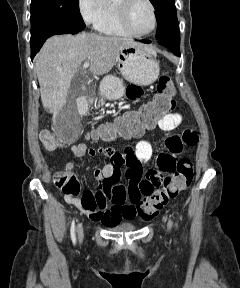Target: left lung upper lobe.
Listing matches in <instances>:
<instances>
[{"instance_id":"5c2ea615","label":"left lung upper lobe","mask_w":240,"mask_h":288,"mask_svg":"<svg viewBox=\"0 0 240 288\" xmlns=\"http://www.w3.org/2000/svg\"><path fill=\"white\" fill-rule=\"evenodd\" d=\"M156 10L157 40H180L179 26L174 0H150Z\"/></svg>"}]
</instances>
